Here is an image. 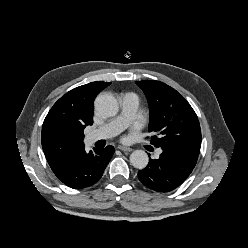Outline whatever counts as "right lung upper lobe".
<instances>
[{
  "instance_id": "cb5924a9",
  "label": "right lung upper lobe",
  "mask_w": 248,
  "mask_h": 248,
  "mask_svg": "<svg viewBox=\"0 0 248 248\" xmlns=\"http://www.w3.org/2000/svg\"><path fill=\"white\" fill-rule=\"evenodd\" d=\"M110 82L97 81L63 95L48 112L41 141L47 162L55 173L84 149V129L93 123V103Z\"/></svg>"
}]
</instances>
